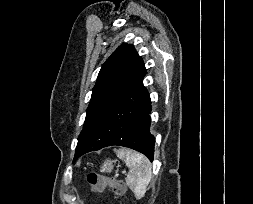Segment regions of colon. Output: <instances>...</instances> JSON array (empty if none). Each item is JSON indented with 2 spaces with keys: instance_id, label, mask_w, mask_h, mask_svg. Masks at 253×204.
I'll list each match as a JSON object with an SVG mask.
<instances>
[{
  "instance_id": "1",
  "label": "colon",
  "mask_w": 253,
  "mask_h": 204,
  "mask_svg": "<svg viewBox=\"0 0 253 204\" xmlns=\"http://www.w3.org/2000/svg\"><path fill=\"white\" fill-rule=\"evenodd\" d=\"M87 181L92 191H102L106 186H109L111 190L116 194H123L125 192V185L118 180L109 178L98 173H89L87 175Z\"/></svg>"
}]
</instances>
